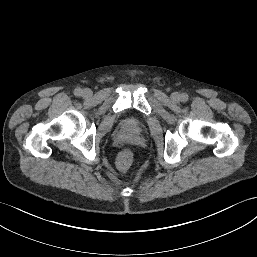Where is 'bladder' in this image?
<instances>
[{
    "label": "bladder",
    "mask_w": 257,
    "mask_h": 257,
    "mask_svg": "<svg viewBox=\"0 0 257 257\" xmlns=\"http://www.w3.org/2000/svg\"><path fill=\"white\" fill-rule=\"evenodd\" d=\"M134 128L138 129V125H133Z\"/></svg>",
    "instance_id": "obj_1"
}]
</instances>
